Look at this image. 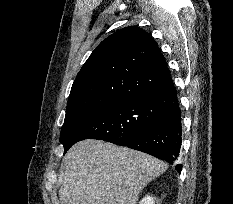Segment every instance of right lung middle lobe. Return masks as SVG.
<instances>
[{
	"mask_svg": "<svg viewBox=\"0 0 233 204\" xmlns=\"http://www.w3.org/2000/svg\"><path fill=\"white\" fill-rule=\"evenodd\" d=\"M151 102L152 96L124 99L77 117L61 130L64 153L83 139L113 142L121 136L145 130L160 119Z\"/></svg>",
	"mask_w": 233,
	"mask_h": 204,
	"instance_id": "dd1d6c3e",
	"label": "right lung middle lobe"
}]
</instances>
